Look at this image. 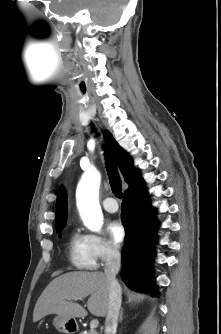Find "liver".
I'll return each mask as SVG.
<instances>
[{"label":"liver","mask_w":221,"mask_h":334,"mask_svg":"<svg viewBox=\"0 0 221 334\" xmlns=\"http://www.w3.org/2000/svg\"><path fill=\"white\" fill-rule=\"evenodd\" d=\"M89 312L105 317L109 306V281L102 272H68L53 279L37 300L33 322L49 314L65 318L85 317L87 311L75 299L88 297Z\"/></svg>","instance_id":"1"}]
</instances>
